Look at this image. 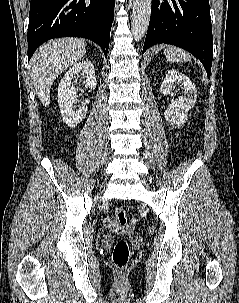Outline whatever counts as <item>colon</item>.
I'll list each match as a JSON object with an SVG mask.
<instances>
[{
  "instance_id": "5ec220e1",
  "label": "colon",
  "mask_w": 239,
  "mask_h": 303,
  "mask_svg": "<svg viewBox=\"0 0 239 303\" xmlns=\"http://www.w3.org/2000/svg\"><path fill=\"white\" fill-rule=\"evenodd\" d=\"M114 216L119 227H125L127 224V214L121 207H117L114 211ZM130 259V248L126 240L120 239L116 242L112 252L113 265L122 270L126 268Z\"/></svg>"
}]
</instances>
